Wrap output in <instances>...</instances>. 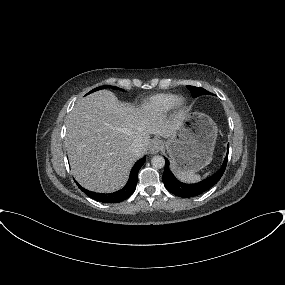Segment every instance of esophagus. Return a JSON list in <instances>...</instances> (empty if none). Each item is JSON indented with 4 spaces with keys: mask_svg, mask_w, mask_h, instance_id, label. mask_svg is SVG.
I'll return each mask as SVG.
<instances>
[{
    "mask_svg": "<svg viewBox=\"0 0 285 285\" xmlns=\"http://www.w3.org/2000/svg\"><path fill=\"white\" fill-rule=\"evenodd\" d=\"M163 142L159 139H154L151 144H150V153L151 154H157L158 152H160L163 149Z\"/></svg>",
    "mask_w": 285,
    "mask_h": 285,
    "instance_id": "esophagus-1",
    "label": "esophagus"
}]
</instances>
